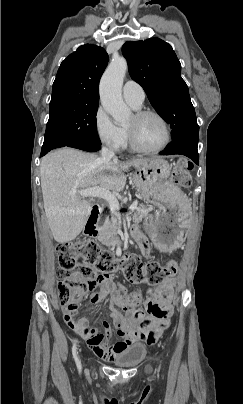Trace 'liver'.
<instances>
[{
	"mask_svg": "<svg viewBox=\"0 0 243 404\" xmlns=\"http://www.w3.org/2000/svg\"><path fill=\"white\" fill-rule=\"evenodd\" d=\"M150 158H134L129 162L103 160L94 154L73 148L54 150L40 164L44 210L52 236L59 244L75 240L81 234L91 214V206L80 198L77 190L100 186L112 192H122L130 166L139 168ZM110 172L109 176L104 174Z\"/></svg>",
	"mask_w": 243,
	"mask_h": 404,
	"instance_id": "obj_1",
	"label": "liver"
}]
</instances>
